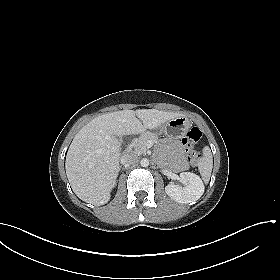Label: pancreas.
<instances>
[{"mask_svg":"<svg viewBox=\"0 0 280 280\" xmlns=\"http://www.w3.org/2000/svg\"><path fill=\"white\" fill-rule=\"evenodd\" d=\"M158 136L152 132H145L141 134L138 138L132 141V147L134 148V153L137 155L146 154L148 147V141H157Z\"/></svg>","mask_w":280,"mask_h":280,"instance_id":"obj_1","label":"pancreas"}]
</instances>
